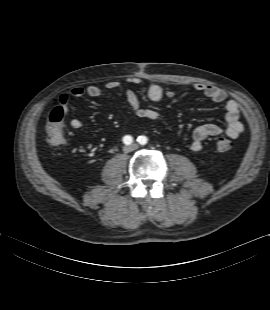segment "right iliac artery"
<instances>
[{
    "label": "right iliac artery",
    "instance_id": "right-iliac-artery-1",
    "mask_svg": "<svg viewBox=\"0 0 270 310\" xmlns=\"http://www.w3.org/2000/svg\"><path fill=\"white\" fill-rule=\"evenodd\" d=\"M123 142L124 144L126 145H130L132 142H133V138L129 135H126L124 138H123Z\"/></svg>",
    "mask_w": 270,
    "mask_h": 310
}]
</instances>
